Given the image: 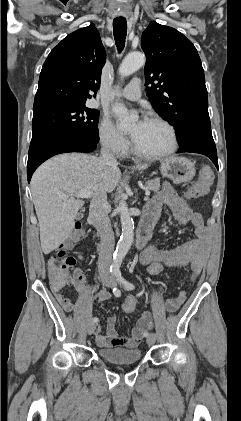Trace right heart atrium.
I'll list each match as a JSON object with an SVG mask.
<instances>
[{"mask_svg": "<svg viewBox=\"0 0 241 421\" xmlns=\"http://www.w3.org/2000/svg\"><path fill=\"white\" fill-rule=\"evenodd\" d=\"M101 144L116 155H124L129 147L127 138L115 127L108 117H103L98 126Z\"/></svg>", "mask_w": 241, "mask_h": 421, "instance_id": "obj_1", "label": "right heart atrium"}]
</instances>
